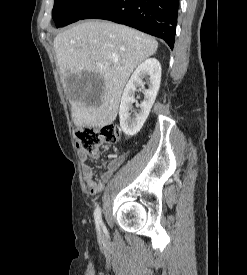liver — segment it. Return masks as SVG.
Segmentation results:
<instances>
[{"label":"liver","instance_id":"1","mask_svg":"<svg viewBox=\"0 0 247 275\" xmlns=\"http://www.w3.org/2000/svg\"><path fill=\"white\" fill-rule=\"evenodd\" d=\"M54 48L74 124L91 128L107 126L116 119L121 94L131 73L157 51L158 42L125 25L88 20L57 34ZM81 72L98 74L103 93L84 100L68 89L67 77Z\"/></svg>","mask_w":247,"mask_h":275}]
</instances>
